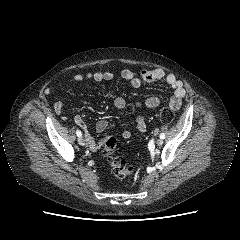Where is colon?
Masks as SVG:
<instances>
[{
    "mask_svg": "<svg viewBox=\"0 0 240 240\" xmlns=\"http://www.w3.org/2000/svg\"><path fill=\"white\" fill-rule=\"evenodd\" d=\"M175 113L170 108H163L160 112V119L164 123L173 121ZM117 148V140L114 137H107L103 142V154L109 160V165L112 173L120 179L131 176L135 168L129 165L125 159L115 157L114 153Z\"/></svg>",
    "mask_w": 240,
    "mask_h": 240,
    "instance_id": "obj_1",
    "label": "colon"
}]
</instances>
